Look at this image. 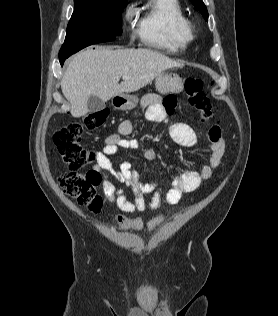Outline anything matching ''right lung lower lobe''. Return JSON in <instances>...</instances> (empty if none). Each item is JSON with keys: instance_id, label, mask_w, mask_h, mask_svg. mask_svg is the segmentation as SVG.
I'll use <instances>...</instances> for the list:
<instances>
[{"instance_id": "obj_1", "label": "right lung lower lobe", "mask_w": 278, "mask_h": 316, "mask_svg": "<svg viewBox=\"0 0 278 316\" xmlns=\"http://www.w3.org/2000/svg\"><path fill=\"white\" fill-rule=\"evenodd\" d=\"M65 59H60V64L63 65Z\"/></svg>"}]
</instances>
